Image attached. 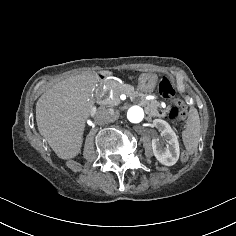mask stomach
<instances>
[{
	"mask_svg": "<svg viewBox=\"0 0 236 236\" xmlns=\"http://www.w3.org/2000/svg\"><path fill=\"white\" fill-rule=\"evenodd\" d=\"M158 77L154 73H142L138 79V88L142 92L152 93L156 88Z\"/></svg>",
	"mask_w": 236,
	"mask_h": 236,
	"instance_id": "obj_1",
	"label": "stomach"
}]
</instances>
